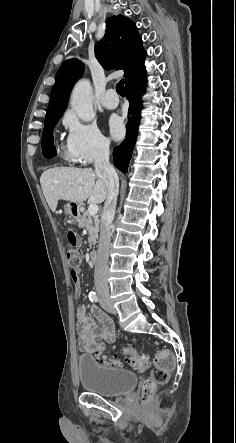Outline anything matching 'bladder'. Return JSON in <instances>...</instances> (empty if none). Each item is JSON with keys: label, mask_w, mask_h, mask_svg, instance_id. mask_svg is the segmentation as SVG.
Masks as SVG:
<instances>
[{"label": "bladder", "mask_w": 236, "mask_h": 443, "mask_svg": "<svg viewBox=\"0 0 236 443\" xmlns=\"http://www.w3.org/2000/svg\"><path fill=\"white\" fill-rule=\"evenodd\" d=\"M77 370L84 390L103 397L123 395L132 390L137 381L134 372L103 365L93 355L79 356Z\"/></svg>", "instance_id": "obj_1"}]
</instances>
